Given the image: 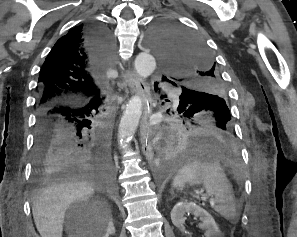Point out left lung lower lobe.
I'll return each mask as SVG.
<instances>
[{
    "mask_svg": "<svg viewBox=\"0 0 297 237\" xmlns=\"http://www.w3.org/2000/svg\"><path fill=\"white\" fill-rule=\"evenodd\" d=\"M181 104L177 111L181 117L190 118V122L169 146L167 157L163 160L165 167L179 166L197 158L227 157L233 154L236 148L235 134L224 124L222 116L203 114L193 117L196 113L188 115V109H182Z\"/></svg>",
    "mask_w": 297,
    "mask_h": 237,
    "instance_id": "left-lung-lower-lobe-1",
    "label": "left lung lower lobe"
}]
</instances>
